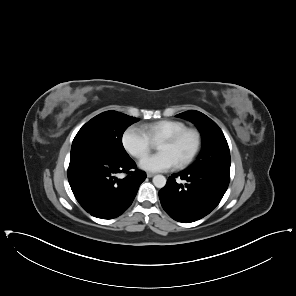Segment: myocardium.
Segmentation results:
<instances>
[{
	"label": "myocardium",
	"instance_id": "f54148a6",
	"mask_svg": "<svg viewBox=\"0 0 296 296\" xmlns=\"http://www.w3.org/2000/svg\"><path fill=\"white\" fill-rule=\"evenodd\" d=\"M191 141L192 145L191 148L188 150L187 153L184 154V156L181 158L182 163H186L190 161L198 152L200 148V135L195 130H188L176 137H174L170 143H168L167 147H174L179 148L180 144L183 142Z\"/></svg>",
	"mask_w": 296,
	"mask_h": 296
}]
</instances>
